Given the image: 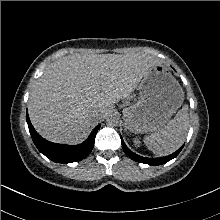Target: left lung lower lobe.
I'll use <instances>...</instances> for the list:
<instances>
[{"mask_svg": "<svg viewBox=\"0 0 220 220\" xmlns=\"http://www.w3.org/2000/svg\"><path fill=\"white\" fill-rule=\"evenodd\" d=\"M121 143H122V148L124 150V152L134 161H137L139 163H145V164H149V165H161L164 164L168 161H170L171 159L175 158L180 151L182 150L183 146L178 149L176 152H174L171 155L165 156V157H161V158H146V157H141L135 153H133L124 143L122 137H121Z\"/></svg>", "mask_w": 220, "mask_h": 220, "instance_id": "obj_1", "label": "left lung lower lobe"}]
</instances>
